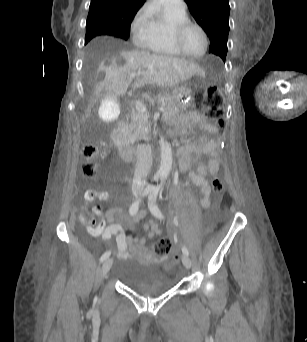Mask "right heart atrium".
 <instances>
[{"mask_svg": "<svg viewBox=\"0 0 307 342\" xmlns=\"http://www.w3.org/2000/svg\"><path fill=\"white\" fill-rule=\"evenodd\" d=\"M128 36L132 43L141 42L153 36L151 23L143 10L138 11L130 20Z\"/></svg>", "mask_w": 307, "mask_h": 342, "instance_id": "right-heart-atrium-1", "label": "right heart atrium"}]
</instances>
